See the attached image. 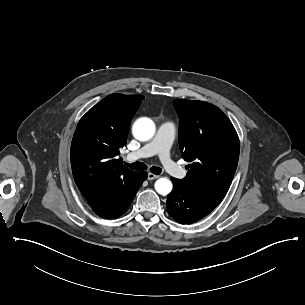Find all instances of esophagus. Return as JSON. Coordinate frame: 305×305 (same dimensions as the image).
Returning a JSON list of instances; mask_svg holds the SVG:
<instances>
[{
	"label": "esophagus",
	"mask_w": 305,
	"mask_h": 305,
	"mask_svg": "<svg viewBox=\"0 0 305 305\" xmlns=\"http://www.w3.org/2000/svg\"><path fill=\"white\" fill-rule=\"evenodd\" d=\"M159 177H160L159 175H155L153 173H148V175H147L148 180H154V179H157Z\"/></svg>",
	"instance_id": "obj_1"
}]
</instances>
